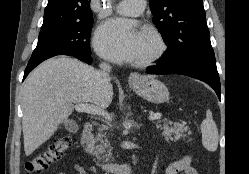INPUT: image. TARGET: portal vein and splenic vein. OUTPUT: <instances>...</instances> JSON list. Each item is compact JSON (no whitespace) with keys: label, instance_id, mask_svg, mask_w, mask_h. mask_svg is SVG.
Listing matches in <instances>:
<instances>
[{"label":"portal vein and splenic vein","instance_id":"18ae733b","mask_svg":"<svg viewBox=\"0 0 249 174\" xmlns=\"http://www.w3.org/2000/svg\"><path fill=\"white\" fill-rule=\"evenodd\" d=\"M73 108L79 112V113H88V114H93V115H101L105 117L108 120H111L110 114L105 111L104 109H101L95 105H90V104H77L73 106ZM162 116L161 113H153L150 114L149 120H157L160 119Z\"/></svg>","mask_w":249,"mask_h":174}]
</instances>
